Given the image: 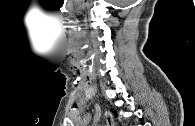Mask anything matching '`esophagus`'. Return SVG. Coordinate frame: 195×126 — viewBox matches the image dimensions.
<instances>
[{"mask_svg": "<svg viewBox=\"0 0 195 126\" xmlns=\"http://www.w3.org/2000/svg\"><path fill=\"white\" fill-rule=\"evenodd\" d=\"M104 117L108 126H114V120L109 111L105 112Z\"/></svg>", "mask_w": 195, "mask_h": 126, "instance_id": "1", "label": "esophagus"}]
</instances>
